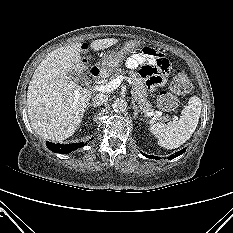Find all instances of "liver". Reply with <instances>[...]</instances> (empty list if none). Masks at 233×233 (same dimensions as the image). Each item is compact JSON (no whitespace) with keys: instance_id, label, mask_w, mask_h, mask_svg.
I'll return each mask as SVG.
<instances>
[{"instance_id":"6515ba94","label":"liver","mask_w":233,"mask_h":233,"mask_svg":"<svg viewBox=\"0 0 233 233\" xmlns=\"http://www.w3.org/2000/svg\"><path fill=\"white\" fill-rule=\"evenodd\" d=\"M119 40H94V51L107 49ZM81 43L50 52L35 70L27 91L29 120L38 135L63 141L78 129L92 91L76 84L85 66L81 61ZM75 74V79L71 74Z\"/></svg>"}]
</instances>
